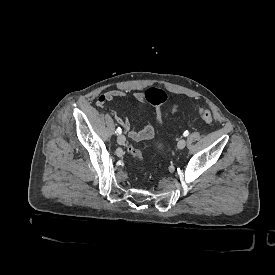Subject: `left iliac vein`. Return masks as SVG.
<instances>
[{
  "label": "left iliac vein",
  "mask_w": 275,
  "mask_h": 275,
  "mask_svg": "<svg viewBox=\"0 0 275 275\" xmlns=\"http://www.w3.org/2000/svg\"><path fill=\"white\" fill-rule=\"evenodd\" d=\"M185 146H186V140H185V139L179 140V142H178V144H177V147H178L180 150H182V149L185 148Z\"/></svg>",
  "instance_id": "4c4485c4"
}]
</instances>
